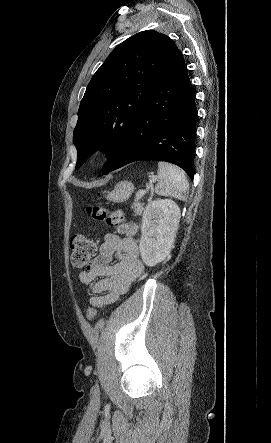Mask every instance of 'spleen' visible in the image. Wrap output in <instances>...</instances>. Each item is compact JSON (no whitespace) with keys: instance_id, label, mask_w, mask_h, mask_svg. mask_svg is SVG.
<instances>
[{"instance_id":"3e777b00","label":"spleen","mask_w":271,"mask_h":443,"mask_svg":"<svg viewBox=\"0 0 271 443\" xmlns=\"http://www.w3.org/2000/svg\"><path fill=\"white\" fill-rule=\"evenodd\" d=\"M157 178L158 184L155 186V194L158 196H171L177 200H186L189 184L186 180L185 172L177 166L159 162Z\"/></svg>"}]
</instances>
